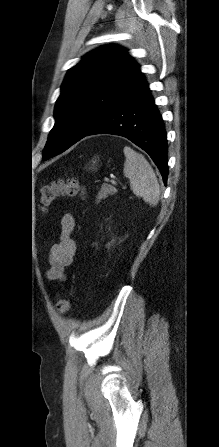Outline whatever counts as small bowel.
<instances>
[{"mask_svg": "<svg viewBox=\"0 0 219 447\" xmlns=\"http://www.w3.org/2000/svg\"><path fill=\"white\" fill-rule=\"evenodd\" d=\"M75 227V219L72 214L66 213L61 218V233L59 242L52 246L48 263L49 270L47 277L53 281H62L65 279V269L68 267L76 253V243L71 237Z\"/></svg>", "mask_w": 219, "mask_h": 447, "instance_id": "small-bowel-1", "label": "small bowel"}]
</instances>
